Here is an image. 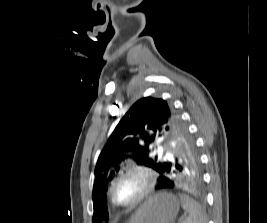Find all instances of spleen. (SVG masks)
I'll list each match as a JSON object with an SVG mask.
<instances>
[{
    "label": "spleen",
    "instance_id": "spleen-1",
    "mask_svg": "<svg viewBox=\"0 0 267 223\" xmlns=\"http://www.w3.org/2000/svg\"><path fill=\"white\" fill-rule=\"evenodd\" d=\"M179 197L183 209L189 213L184 223H206V214L195 200L185 194H179Z\"/></svg>",
    "mask_w": 267,
    "mask_h": 223
}]
</instances>
